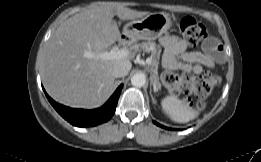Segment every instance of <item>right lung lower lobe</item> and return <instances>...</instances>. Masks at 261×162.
<instances>
[{"instance_id":"1","label":"right lung lower lobe","mask_w":261,"mask_h":162,"mask_svg":"<svg viewBox=\"0 0 261 162\" xmlns=\"http://www.w3.org/2000/svg\"><path fill=\"white\" fill-rule=\"evenodd\" d=\"M122 87L123 85L121 84L102 107L94 110L66 107L55 102L45 91L44 92L55 110L69 123L77 127H92L108 121L113 116Z\"/></svg>"}]
</instances>
